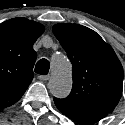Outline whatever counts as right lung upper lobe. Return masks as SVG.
<instances>
[{"mask_svg":"<svg viewBox=\"0 0 125 125\" xmlns=\"http://www.w3.org/2000/svg\"><path fill=\"white\" fill-rule=\"evenodd\" d=\"M44 26L26 18L0 24V109L16 103L30 85L37 53L33 44Z\"/></svg>","mask_w":125,"mask_h":125,"instance_id":"1","label":"right lung upper lobe"}]
</instances>
